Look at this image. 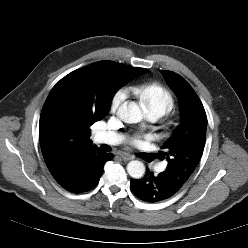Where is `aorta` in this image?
<instances>
[{
    "instance_id": "obj_1",
    "label": "aorta",
    "mask_w": 248,
    "mask_h": 248,
    "mask_svg": "<svg viewBox=\"0 0 248 248\" xmlns=\"http://www.w3.org/2000/svg\"><path fill=\"white\" fill-rule=\"evenodd\" d=\"M125 123H138L143 119V112L135 102H124L117 112ZM127 172L134 179H140L145 173V166L141 161L134 160L127 164Z\"/></svg>"
}]
</instances>
